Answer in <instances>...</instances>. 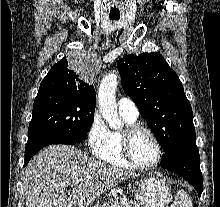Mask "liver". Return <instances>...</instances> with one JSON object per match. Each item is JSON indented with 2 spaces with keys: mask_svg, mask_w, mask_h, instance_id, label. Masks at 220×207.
Instances as JSON below:
<instances>
[{
  "mask_svg": "<svg viewBox=\"0 0 220 207\" xmlns=\"http://www.w3.org/2000/svg\"><path fill=\"white\" fill-rule=\"evenodd\" d=\"M138 174L109 166L67 145H52L25 168L26 207H89L103 192ZM79 181L66 194L72 181Z\"/></svg>",
  "mask_w": 220,
  "mask_h": 207,
  "instance_id": "liver-1",
  "label": "liver"
}]
</instances>
